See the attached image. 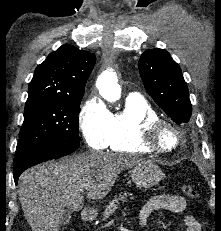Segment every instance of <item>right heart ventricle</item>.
<instances>
[{"instance_id": "1", "label": "right heart ventricle", "mask_w": 221, "mask_h": 231, "mask_svg": "<svg viewBox=\"0 0 221 231\" xmlns=\"http://www.w3.org/2000/svg\"><path fill=\"white\" fill-rule=\"evenodd\" d=\"M158 118L156 111L142 97H127L123 108L112 114L110 132L105 148L116 152H151L140 140L142 124Z\"/></svg>"}]
</instances>
